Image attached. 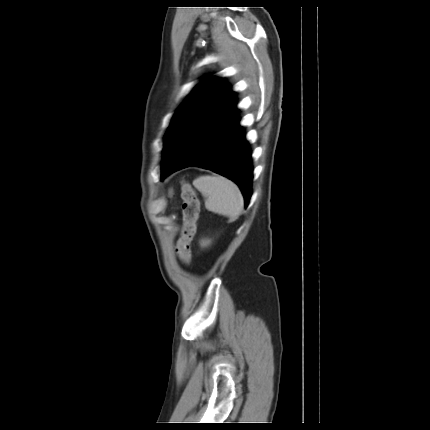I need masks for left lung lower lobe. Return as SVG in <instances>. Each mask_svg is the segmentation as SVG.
<instances>
[{"mask_svg":"<svg viewBox=\"0 0 430 430\" xmlns=\"http://www.w3.org/2000/svg\"><path fill=\"white\" fill-rule=\"evenodd\" d=\"M239 121L220 115L201 120L189 139L162 163L161 180L189 166L206 168L233 180L247 205L252 195V152Z\"/></svg>","mask_w":430,"mask_h":430,"instance_id":"0a47b994","label":"left lung lower lobe"}]
</instances>
